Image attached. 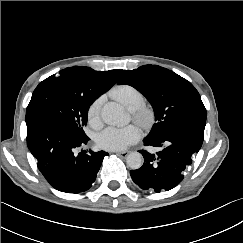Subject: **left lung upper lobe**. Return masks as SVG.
Returning a JSON list of instances; mask_svg holds the SVG:
<instances>
[{
  "instance_id": "5c2ea615",
  "label": "left lung upper lobe",
  "mask_w": 243,
  "mask_h": 243,
  "mask_svg": "<svg viewBox=\"0 0 243 243\" xmlns=\"http://www.w3.org/2000/svg\"><path fill=\"white\" fill-rule=\"evenodd\" d=\"M118 84L134 87L151 103L156 122L144 138L146 140L161 138L183 116L206 111L198 91L190 82L157 65L124 70Z\"/></svg>"
}]
</instances>
